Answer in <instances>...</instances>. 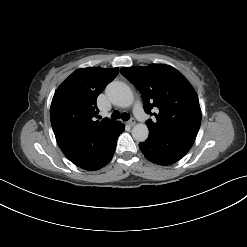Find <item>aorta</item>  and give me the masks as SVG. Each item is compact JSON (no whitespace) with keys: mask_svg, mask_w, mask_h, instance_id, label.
<instances>
[{"mask_svg":"<svg viewBox=\"0 0 247 247\" xmlns=\"http://www.w3.org/2000/svg\"><path fill=\"white\" fill-rule=\"evenodd\" d=\"M106 95L116 106L126 108L132 105L134 96L130 87L120 81H113L106 87ZM149 130L145 124H136L132 128L134 140L143 142L148 138Z\"/></svg>","mask_w":247,"mask_h":247,"instance_id":"762f6f07","label":"aorta"}]
</instances>
